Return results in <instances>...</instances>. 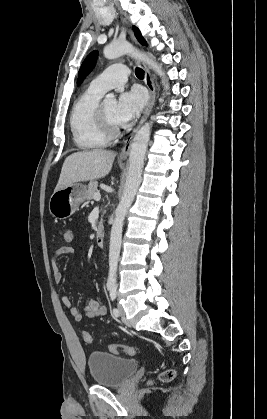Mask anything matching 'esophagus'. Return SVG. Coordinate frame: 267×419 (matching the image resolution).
Segmentation results:
<instances>
[{
    "mask_svg": "<svg viewBox=\"0 0 267 419\" xmlns=\"http://www.w3.org/2000/svg\"><path fill=\"white\" fill-rule=\"evenodd\" d=\"M141 66L144 70L145 73V84L149 90V102L145 108V111L143 113V116L140 120V123L138 125V127L136 129L133 130V132L127 137V139L124 141V145L119 153V158L121 159H126L130 153V149H131V144H132V140L133 137L135 135V133L138 131V129L141 127V125L146 121L148 115L151 112V109L154 105L155 102V97H156V87H155V82L154 79L150 73L149 68L144 64L141 63Z\"/></svg>",
    "mask_w": 267,
    "mask_h": 419,
    "instance_id": "obj_1",
    "label": "esophagus"
}]
</instances>
